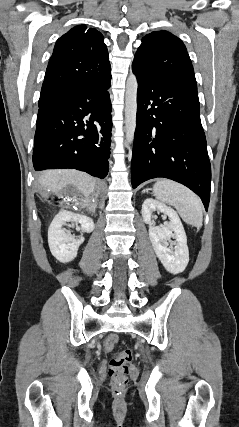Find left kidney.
Returning a JSON list of instances; mask_svg holds the SVG:
<instances>
[{"label": "left kidney", "instance_id": "left-kidney-1", "mask_svg": "<svg viewBox=\"0 0 239 427\" xmlns=\"http://www.w3.org/2000/svg\"><path fill=\"white\" fill-rule=\"evenodd\" d=\"M155 211L167 215L169 224L155 226L152 221V214ZM141 212L143 221L149 224V238L158 259L168 272L172 274L183 272L189 262V250L186 233L177 213L151 198L144 201ZM171 238L175 241H171Z\"/></svg>", "mask_w": 239, "mask_h": 427}]
</instances>
